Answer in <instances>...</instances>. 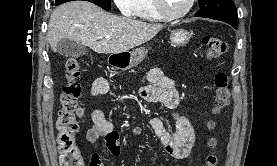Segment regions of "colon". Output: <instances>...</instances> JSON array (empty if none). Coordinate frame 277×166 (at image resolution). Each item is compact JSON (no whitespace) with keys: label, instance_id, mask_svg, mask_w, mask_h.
<instances>
[{"label":"colon","instance_id":"1","mask_svg":"<svg viewBox=\"0 0 277 166\" xmlns=\"http://www.w3.org/2000/svg\"><path fill=\"white\" fill-rule=\"evenodd\" d=\"M205 56L208 59H216L224 55L228 50L225 41L206 36L203 38ZM66 83L61 93V109L56 120L57 147L61 166H86L84 157L76 144L75 134L78 130L76 122V110L81 97L80 64L76 57L69 56L64 65ZM230 87L229 79L225 73H218L214 81V94L212 110L215 115L221 113L229 104ZM211 129L214 122L209 123ZM216 140H209L210 152L206 157V166H217L218 155L216 153ZM90 166V164H89Z\"/></svg>","mask_w":277,"mask_h":166}]
</instances>
